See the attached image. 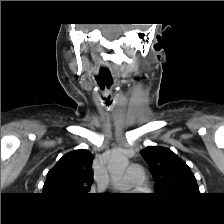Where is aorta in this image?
<instances>
[{
    "mask_svg": "<svg viewBox=\"0 0 224 224\" xmlns=\"http://www.w3.org/2000/svg\"><path fill=\"white\" fill-rule=\"evenodd\" d=\"M128 159L122 154H114L107 165L108 172L113 180H118L124 174L126 167L128 166Z\"/></svg>",
    "mask_w": 224,
    "mask_h": 224,
    "instance_id": "obj_1",
    "label": "aorta"
}]
</instances>
